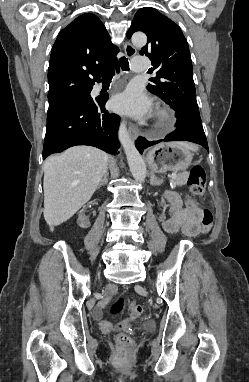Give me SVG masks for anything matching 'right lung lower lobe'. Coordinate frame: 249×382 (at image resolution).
Returning a JSON list of instances; mask_svg holds the SVG:
<instances>
[{
	"mask_svg": "<svg viewBox=\"0 0 249 382\" xmlns=\"http://www.w3.org/2000/svg\"><path fill=\"white\" fill-rule=\"evenodd\" d=\"M119 70L118 61L109 69ZM90 92L92 87L89 89ZM108 95L89 99L47 116L43 159L76 145H89L115 155L119 116L105 109Z\"/></svg>",
	"mask_w": 249,
	"mask_h": 382,
	"instance_id": "1",
	"label": "right lung lower lobe"
}]
</instances>
